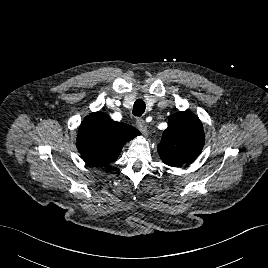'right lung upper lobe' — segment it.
Returning <instances> with one entry per match:
<instances>
[{
    "instance_id": "right-lung-upper-lobe-1",
    "label": "right lung upper lobe",
    "mask_w": 268,
    "mask_h": 268,
    "mask_svg": "<svg viewBox=\"0 0 268 268\" xmlns=\"http://www.w3.org/2000/svg\"><path fill=\"white\" fill-rule=\"evenodd\" d=\"M140 135L125 123L113 121L103 112L88 115L78 130L77 149L89 165L101 167L114 162L123 146Z\"/></svg>"
}]
</instances>
